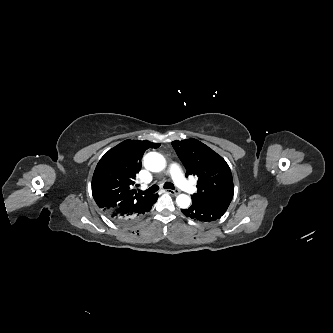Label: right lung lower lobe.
<instances>
[{"instance_id":"obj_1","label":"right lung lower lobe","mask_w":333,"mask_h":333,"mask_svg":"<svg viewBox=\"0 0 333 333\" xmlns=\"http://www.w3.org/2000/svg\"><path fill=\"white\" fill-rule=\"evenodd\" d=\"M158 195H152L148 200L136 204L133 207H116L104 213L117 223H130L139 220L145 213L149 212L156 202Z\"/></svg>"}]
</instances>
